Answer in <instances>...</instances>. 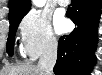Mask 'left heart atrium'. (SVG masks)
I'll use <instances>...</instances> for the list:
<instances>
[{
  "label": "left heart atrium",
  "instance_id": "left-heart-atrium-1",
  "mask_svg": "<svg viewBox=\"0 0 102 75\" xmlns=\"http://www.w3.org/2000/svg\"><path fill=\"white\" fill-rule=\"evenodd\" d=\"M69 28V21L63 17H58L55 21V30L59 33L67 31Z\"/></svg>",
  "mask_w": 102,
  "mask_h": 75
}]
</instances>
